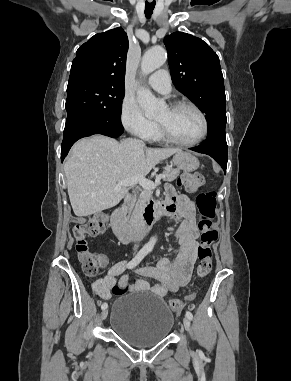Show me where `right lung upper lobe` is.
<instances>
[{"instance_id":"cb5924a9","label":"right lung upper lobe","mask_w":291,"mask_h":381,"mask_svg":"<svg viewBox=\"0 0 291 381\" xmlns=\"http://www.w3.org/2000/svg\"><path fill=\"white\" fill-rule=\"evenodd\" d=\"M128 47L127 34L121 27L94 35L78 48L69 83L86 81L124 87Z\"/></svg>"}]
</instances>
